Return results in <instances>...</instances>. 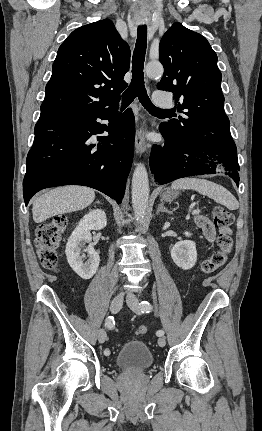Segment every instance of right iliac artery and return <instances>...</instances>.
Instances as JSON below:
<instances>
[{"label":"right iliac artery","mask_w":262,"mask_h":431,"mask_svg":"<svg viewBox=\"0 0 262 431\" xmlns=\"http://www.w3.org/2000/svg\"><path fill=\"white\" fill-rule=\"evenodd\" d=\"M114 325H115L114 317H112V316L108 317V318L106 319V321H105V326H106L108 329H112V328L114 327ZM104 354H105V355H109V354H110V351H109L108 349H106V350L104 351Z\"/></svg>","instance_id":"1"}]
</instances>
